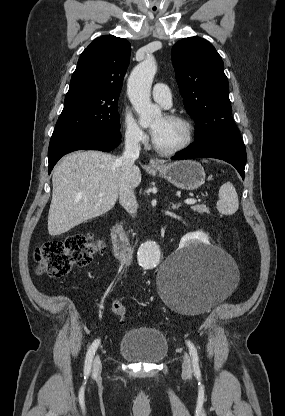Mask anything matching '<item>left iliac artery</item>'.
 <instances>
[{"mask_svg": "<svg viewBox=\"0 0 285 416\" xmlns=\"http://www.w3.org/2000/svg\"><path fill=\"white\" fill-rule=\"evenodd\" d=\"M188 348H189V352L192 358V365H193V371H194V375L200 379L201 377V372H200V368H199V357H198V353L197 350L194 346V344L191 341H186Z\"/></svg>", "mask_w": 285, "mask_h": 416, "instance_id": "obj_1", "label": "left iliac artery"}]
</instances>
